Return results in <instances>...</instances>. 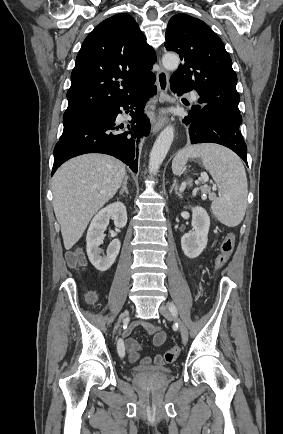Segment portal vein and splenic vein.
Returning <instances> with one entry per match:
<instances>
[{"label":"portal vein and splenic vein","instance_id":"obj_1","mask_svg":"<svg viewBox=\"0 0 283 434\" xmlns=\"http://www.w3.org/2000/svg\"><path fill=\"white\" fill-rule=\"evenodd\" d=\"M201 180H203L204 182H207L208 180H209V177H208V175L207 174H205V173H202L201 174V178H200Z\"/></svg>","mask_w":283,"mask_h":434}]
</instances>
